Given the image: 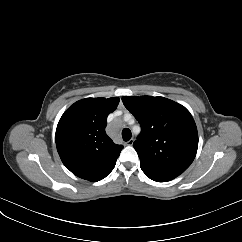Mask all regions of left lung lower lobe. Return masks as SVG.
Wrapping results in <instances>:
<instances>
[{"instance_id":"obj_1","label":"left lung lower lobe","mask_w":242,"mask_h":242,"mask_svg":"<svg viewBox=\"0 0 242 242\" xmlns=\"http://www.w3.org/2000/svg\"><path fill=\"white\" fill-rule=\"evenodd\" d=\"M150 179L157 181V182H167L170 181L172 179H174V177H168V176H151L146 174Z\"/></svg>"}]
</instances>
